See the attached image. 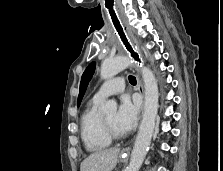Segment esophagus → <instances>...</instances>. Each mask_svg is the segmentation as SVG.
<instances>
[{
	"instance_id": "34e87169",
	"label": "esophagus",
	"mask_w": 223,
	"mask_h": 171,
	"mask_svg": "<svg viewBox=\"0 0 223 171\" xmlns=\"http://www.w3.org/2000/svg\"><path fill=\"white\" fill-rule=\"evenodd\" d=\"M111 22L112 29L117 31V35L119 39H122V42L125 44V49L130 50L131 60H135L136 63L140 66L144 63L142 55L140 53L139 47L133 42L131 35L128 34V30H126L125 22L122 21V17H120L119 13L111 14ZM137 81H138V90L140 94L144 97V88L142 84V80L139 72H137ZM130 151V147H126L122 150V152L128 153Z\"/></svg>"
}]
</instances>
